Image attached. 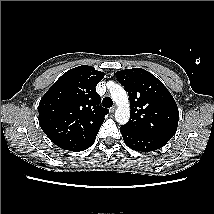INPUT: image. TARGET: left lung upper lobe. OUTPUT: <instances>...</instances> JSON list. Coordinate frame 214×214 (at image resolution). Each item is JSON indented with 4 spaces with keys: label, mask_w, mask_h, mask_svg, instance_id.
I'll use <instances>...</instances> for the list:
<instances>
[{
    "label": "left lung upper lobe",
    "mask_w": 214,
    "mask_h": 214,
    "mask_svg": "<svg viewBox=\"0 0 214 214\" xmlns=\"http://www.w3.org/2000/svg\"><path fill=\"white\" fill-rule=\"evenodd\" d=\"M130 99V119L124 128L169 141L179 121L177 104L164 84L142 68L116 72Z\"/></svg>",
    "instance_id": "left-lung-upper-lobe-1"
}]
</instances>
